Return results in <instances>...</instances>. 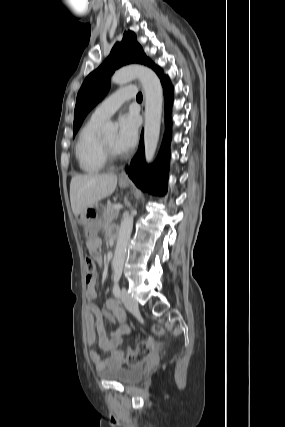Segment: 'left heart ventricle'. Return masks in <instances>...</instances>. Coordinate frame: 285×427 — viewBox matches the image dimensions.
<instances>
[{
    "instance_id": "left-heart-ventricle-1",
    "label": "left heart ventricle",
    "mask_w": 285,
    "mask_h": 427,
    "mask_svg": "<svg viewBox=\"0 0 285 427\" xmlns=\"http://www.w3.org/2000/svg\"><path fill=\"white\" fill-rule=\"evenodd\" d=\"M116 137H117V134L116 133H110V134H108V135H106V136H104V138H105V140H106V142L115 150V151H117V152H119V153H121L118 149H117V147H116Z\"/></svg>"
}]
</instances>
